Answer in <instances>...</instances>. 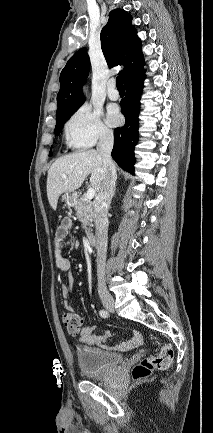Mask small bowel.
<instances>
[{
    "instance_id": "obj_1",
    "label": "small bowel",
    "mask_w": 213,
    "mask_h": 433,
    "mask_svg": "<svg viewBox=\"0 0 213 433\" xmlns=\"http://www.w3.org/2000/svg\"><path fill=\"white\" fill-rule=\"evenodd\" d=\"M72 228V221L69 218H63L58 225L53 243V251L55 256V262L58 270L65 274V279L62 282V297L65 308H71V301L69 298V292L73 288V277L71 273V261L64 255V241L69 235ZM74 245L78 247L80 243L74 242ZM95 326L86 325L83 326L78 333V340L81 343H85L89 346H97L109 350L127 351L134 347L139 346L142 343V336L139 332L133 331L130 338L120 345L112 346L108 344L109 334L104 332L102 334H95Z\"/></svg>"
}]
</instances>
